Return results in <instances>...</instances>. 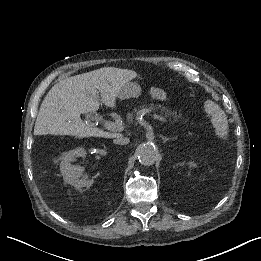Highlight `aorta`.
<instances>
[{"label":"aorta","instance_id":"762f6f07","mask_svg":"<svg viewBox=\"0 0 261 261\" xmlns=\"http://www.w3.org/2000/svg\"><path fill=\"white\" fill-rule=\"evenodd\" d=\"M137 155L139 162L144 166H150L154 164L157 156L155 147L152 145H140L137 148Z\"/></svg>","mask_w":261,"mask_h":261}]
</instances>
